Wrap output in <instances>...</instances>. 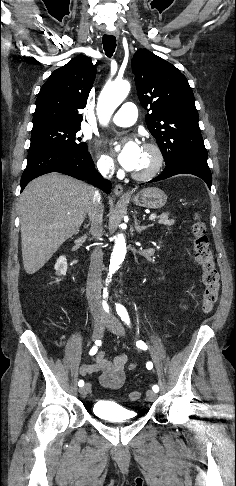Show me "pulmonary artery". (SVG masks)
<instances>
[{
	"instance_id": "e3ab8cb5",
	"label": "pulmonary artery",
	"mask_w": 236,
	"mask_h": 486,
	"mask_svg": "<svg viewBox=\"0 0 236 486\" xmlns=\"http://www.w3.org/2000/svg\"><path fill=\"white\" fill-rule=\"evenodd\" d=\"M137 108L134 103L126 102L112 118V123L121 127L133 125L137 120Z\"/></svg>"
}]
</instances>
